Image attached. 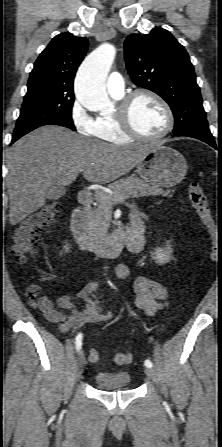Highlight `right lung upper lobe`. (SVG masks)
Instances as JSON below:
<instances>
[{
    "label": "right lung upper lobe",
    "mask_w": 222,
    "mask_h": 447,
    "mask_svg": "<svg viewBox=\"0 0 222 447\" xmlns=\"http://www.w3.org/2000/svg\"><path fill=\"white\" fill-rule=\"evenodd\" d=\"M87 48L86 37H76L69 33L55 36L35 62L28 88L47 85L58 92L74 94V77Z\"/></svg>",
    "instance_id": "right-lung-upper-lobe-1"
}]
</instances>
